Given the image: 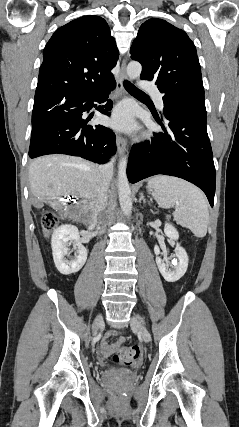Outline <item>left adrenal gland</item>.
I'll return each mask as SVG.
<instances>
[{"instance_id": "1", "label": "left adrenal gland", "mask_w": 239, "mask_h": 427, "mask_svg": "<svg viewBox=\"0 0 239 427\" xmlns=\"http://www.w3.org/2000/svg\"><path fill=\"white\" fill-rule=\"evenodd\" d=\"M141 201H143V203H145V202H146V199H145V197H144V194H143V193H140L139 202H141Z\"/></svg>"}]
</instances>
